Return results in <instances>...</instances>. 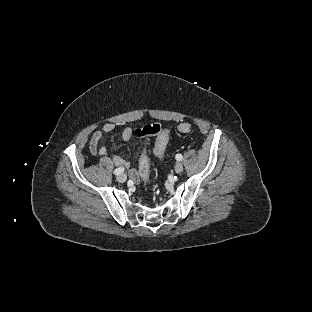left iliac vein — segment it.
<instances>
[{"mask_svg": "<svg viewBox=\"0 0 312 312\" xmlns=\"http://www.w3.org/2000/svg\"><path fill=\"white\" fill-rule=\"evenodd\" d=\"M183 171V165L181 163H177L175 166V172L181 173Z\"/></svg>", "mask_w": 312, "mask_h": 312, "instance_id": "1", "label": "left iliac vein"}]
</instances>
